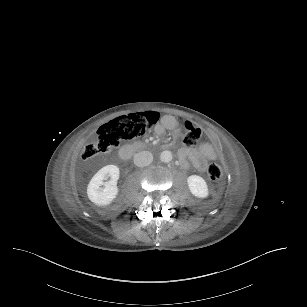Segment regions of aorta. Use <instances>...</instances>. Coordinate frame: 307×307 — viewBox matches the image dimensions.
Instances as JSON below:
<instances>
[{
  "label": "aorta",
  "instance_id": "aorta-1",
  "mask_svg": "<svg viewBox=\"0 0 307 307\" xmlns=\"http://www.w3.org/2000/svg\"><path fill=\"white\" fill-rule=\"evenodd\" d=\"M173 159L172 152L169 150H164L160 154V160L164 163H169Z\"/></svg>",
  "mask_w": 307,
  "mask_h": 307
}]
</instances>
